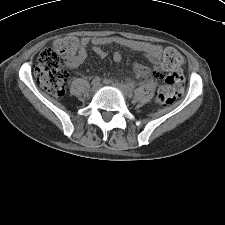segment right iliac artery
<instances>
[{"instance_id":"obj_1","label":"right iliac artery","mask_w":225,"mask_h":225,"mask_svg":"<svg viewBox=\"0 0 225 225\" xmlns=\"http://www.w3.org/2000/svg\"><path fill=\"white\" fill-rule=\"evenodd\" d=\"M100 81H101V78L98 77V76H96V77L92 80V84H98V83H100Z\"/></svg>"}]
</instances>
